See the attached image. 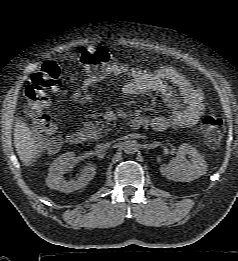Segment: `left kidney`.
Here are the masks:
<instances>
[{
	"label": "left kidney",
	"instance_id": "1",
	"mask_svg": "<svg viewBox=\"0 0 238 261\" xmlns=\"http://www.w3.org/2000/svg\"><path fill=\"white\" fill-rule=\"evenodd\" d=\"M189 155L190 161L185 158ZM207 164L204 157L190 144L179 146L177 156L169 164H163L160 172L169 180L189 182L206 174Z\"/></svg>",
	"mask_w": 238,
	"mask_h": 261
}]
</instances>
